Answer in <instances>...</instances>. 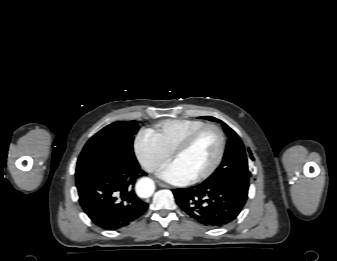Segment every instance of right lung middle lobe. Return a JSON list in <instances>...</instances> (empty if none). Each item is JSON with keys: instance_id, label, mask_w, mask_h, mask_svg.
<instances>
[{"instance_id": "dd1d6c3e", "label": "right lung middle lobe", "mask_w": 337, "mask_h": 261, "mask_svg": "<svg viewBox=\"0 0 337 261\" xmlns=\"http://www.w3.org/2000/svg\"><path fill=\"white\" fill-rule=\"evenodd\" d=\"M138 130L136 121H118L97 132L78 158L76 177L110 160L138 163L133 152L134 135Z\"/></svg>"}]
</instances>
